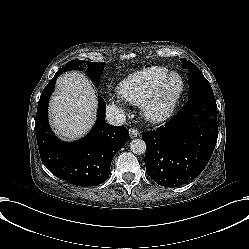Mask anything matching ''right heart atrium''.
Instances as JSON below:
<instances>
[{
    "mask_svg": "<svg viewBox=\"0 0 249 249\" xmlns=\"http://www.w3.org/2000/svg\"><path fill=\"white\" fill-rule=\"evenodd\" d=\"M116 103H117V104H121V102H120V101H117Z\"/></svg>",
    "mask_w": 249,
    "mask_h": 249,
    "instance_id": "obj_1",
    "label": "right heart atrium"
}]
</instances>
